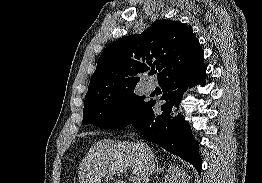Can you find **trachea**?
Returning a JSON list of instances; mask_svg holds the SVG:
<instances>
[{
	"label": "trachea",
	"mask_w": 262,
	"mask_h": 183,
	"mask_svg": "<svg viewBox=\"0 0 262 183\" xmlns=\"http://www.w3.org/2000/svg\"><path fill=\"white\" fill-rule=\"evenodd\" d=\"M155 73H156L155 71H151V72H150V75H153V74H155Z\"/></svg>",
	"instance_id": "1"
}]
</instances>
